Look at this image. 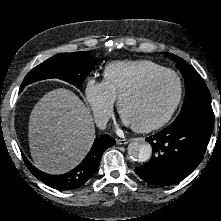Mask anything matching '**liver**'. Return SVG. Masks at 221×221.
<instances>
[{
    "instance_id": "obj_1",
    "label": "liver",
    "mask_w": 221,
    "mask_h": 221,
    "mask_svg": "<svg viewBox=\"0 0 221 221\" xmlns=\"http://www.w3.org/2000/svg\"><path fill=\"white\" fill-rule=\"evenodd\" d=\"M28 137L34 165L49 174L76 167L95 140L92 115L72 91L58 88L34 106Z\"/></svg>"
}]
</instances>
